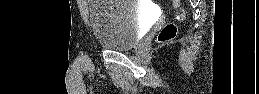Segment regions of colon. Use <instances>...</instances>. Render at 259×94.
Segmentation results:
<instances>
[{
  "label": "colon",
  "instance_id": "obj_1",
  "mask_svg": "<svg viewBox=\"0 0 259 94\" xmlns=\"http://www.w3.org/2000/svg\"><path fill=\"white\" fill-rule=\"evenodd\" d=\"M173 6L178 10L177 18L180 19L183 17L184 12L181 8L180 1H172ZM177 28L174 24L166 25L161 32L159 33L158 39L160 42H166L173 39L176 36Z\"/></svg>",
  "mask_w": 259,
  "mask_h": 94
}]
</instances>
